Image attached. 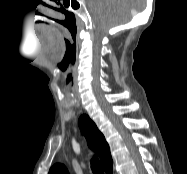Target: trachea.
Returning a JSON list of instances; mask_svg holds the SVG:
<instances>
[{"label": "trachea", "mask_w": 187, "mask_h": 174, "mask_svg": "<svg viewBox=\"0 0 187 174\" xmlns=\"http://www.w3.org/2000/svg\"><path fill=\"white\" fill-rule=\"evenodd\" d=\"M91 169L93 174H104L102 165L96 157L91 160Z\"/></svg>", "instance_id": "3493384b"}]
</instances>
